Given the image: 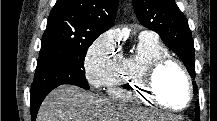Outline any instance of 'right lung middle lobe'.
Listing matches in <instances>:
<instances>
[{
  "instance_id": "dd1d6c3e",
  "label": "right lung middle lobe",
  "mask_w": 217,
  "mask_h": 121,
  "mask_svg": "<svg viewBox=\"0 0 217 121\" xmlns=\"http://www.w3.org/2000/svg\"><path fill=\"white\" fill-rule=\"evenodd\" d=\"M94 40L44 34L30 94L55 84H72L88 90L84 59Z\"/></svg>"
}]
</instances>
